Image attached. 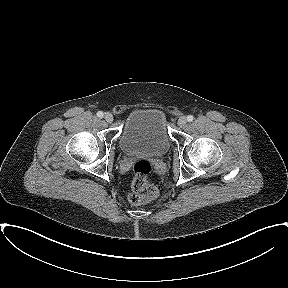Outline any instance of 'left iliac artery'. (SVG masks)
I'll use <instances>...</instances> for the list:
<instances>
[{
	"mask_svg": "<svg viewBox=\"0 0 288 288\" xmlns=\"http://www.w3.org/2000/svg\"><path fill=\"white\" fill-rule=\"evenodd\" d=\"M194 120V117L192 115L187 116V121L192 122Z\"/></svg>",
	"mask_w": 288,
	"mask_h": 288,
	"instance_id": "obj_1",
	"label": "left iliac artery"
}]
</instances>
